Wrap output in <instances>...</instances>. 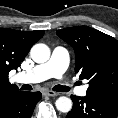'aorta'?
Listing matches in <instances>:
<instances>
[{
  "label": "aorta",
  "instance_id": "aorta-1",
  "mask_svg": "<svg viewBox=\"0 0 118 118\" xmlns=\"http://www.w3.org/2000/svg\"><path fill=\"white\" fill-rule=\"evenodd\" d=\"M30 56L36 63H45L50 58V49L45 44H35L31 48ZM55 105L58 111L67 113L72 109L73 104L70 98L61 96L56 100Z\"/></svg>",
  "mask_w": 118,
  "mask_h": 118
}]
</instances>
